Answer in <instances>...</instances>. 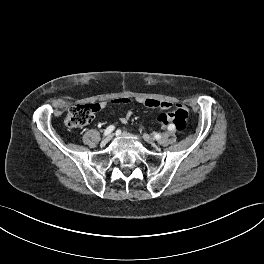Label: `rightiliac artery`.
<instances>
[{
  "label": "right iliac artery",
  "mask_w": 264,
  "mask_h": 264,
  "mask_svg": "<svg viewBox=\"0 0 264 264\" xmlns=\"http://www.w3.org/2000/svg\"><path fill=\"white\" fill-rule=\"evenodd\" d=\"M115 129L114 125H110L106 128V130L104 131V136L109 135L113 130Z\"/></svg>",
  "instance_id": "obj_1"
}]
</instances>
